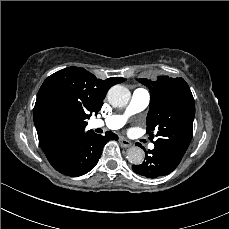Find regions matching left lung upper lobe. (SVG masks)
I'll list each match as a JSON object with an SVG mask.
<instances>
[{
	"label": "left lung upper lobe",
	"instance_id": "left-lung-upper-lobe-1",
	"mask_svg": "<svg viewBox=\"0 0 229 229\" xmlns=\"http://www.w3.org/2000/svg\"><path fill=\"white\" fill-rule=\"evenodd\" d=\"M150 88V108L147 115V134L155 146L164 149L167 156L180 163L192 138L195 102L186 81L158 76L156 81L140 78Z\"/></svg>",
	"mask_w": 229,
	"mask_h": 229
}]
</instances>
